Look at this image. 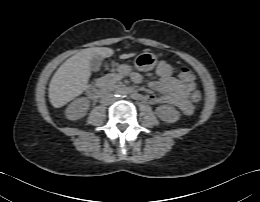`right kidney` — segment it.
<instances>
[{
  "mask_svg": "<svg viewBox=\"0 0 260 202\" xmlns=\"http://www.w3.org/2000/svg\"><path fill=\"white\" fill-rule=\"evenodd\" d=\"M90 102L86 97L75 99L66 109V117L69 120H78L83 118L89 110Z\"/></svg>",
  "mask_w": 260,
  "mask_h": 202,
  "instance_id": "1",
  "label": "right kidney"
}]
</instances>
